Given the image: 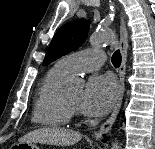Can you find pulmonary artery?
Instances as JSON below:
<instances>
[{
    "label": "pulmonary artery",
    "mask_w": 155,
    "mask_h": 149,
    "mask_svg": "<svg viewBox=\"0 0 155 149\" xmlns=\"http://www.w3.org/2000/svg\"><path fill=\"white\" fill-rule=\"evenodd\" d=\"M106 59L103 51L86 49L69 54L58 61V66L69 76L79 72H89L100 68Z\"/></svg>",
    "instance_id": "e3ab8cb5"
}]
</instances>
